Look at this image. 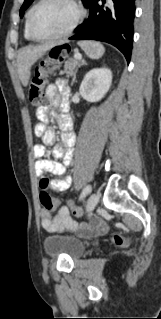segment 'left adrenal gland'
I'll list each match as a JSON object with an SVG mask.
<instances>
[{
	"instance_id": "left-adrenal-gland-1",
	"label": "left adrenal gland",
	"mask_w": 161,
	"mask_h": 319,
	"mask_svg": "<svg viewBox=\"0 0 161 319\" xmlns=\"http://www.w3.org/2000/svg\"><path fill=\"white\" fill-rule=\"evenodd\" d=\"M81 65H86V62H85V61H81L80 66H81ZM75 79H76V73H75V75H74V77H73V80H72V84H71V85H73V84H74Z\"/></svg>"
}]
</instances>
